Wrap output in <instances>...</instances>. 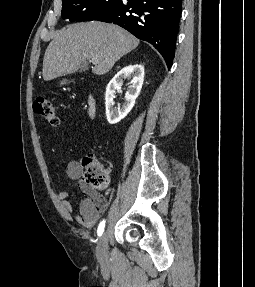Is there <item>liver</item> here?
Returning a JSON list of instances; mask_svg holds the SVG:
<instances>
[{
    "instance_id": "obj_1",
    "label": "liver",
    "mask_w": 255,
    "mask_h": 287,
    "mask_svg": "<svg viewBox=\"0 0 255 287\" xmlns=\"http://www.w3.org/2000/svg\"><path fill=\"white\" fill-rule=\"evenodd\" d=\"M139 40L129 32L104 22L70 24L50 42L43 60V80H55L79 70L82 62L98 58L93 74H107L115 62L135 50Z\"/></svg>"
}]
</instances>
